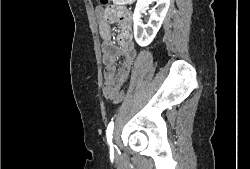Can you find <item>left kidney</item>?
<instances>
[{"mask_svg": "<svg viewBox=\"0 0 250 169\" xmlns=\"http://www.w3.org/2000/svg\"><path fill=\"white\" fill-rule=\"evenodd\" d=\"M149 4L148 0H137L133 14V30L134 38L140 46H147L155 38L161 24L168 12L170 6V0H157V10H151L150 18L147 24H143L140 16L141 12L147 10Z\"/></svg>", "mask_w": 250, "mask_h": 169, "instance_id": "obj_1", "label": "left kidney"}]
</instances>
